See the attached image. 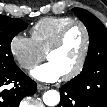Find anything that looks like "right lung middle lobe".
<instances>
[{"label":"right lung middle lobe","mask_w":107,"mask_h":107,"mask_svg":"<svg viewBox=\"0 0 107 107\" xmlns=\"http://www.w3.org/2000/svg\"><path fill=\"white\" fill-rule=\"evenodd\" d=\"M28 24L16 18L0 15V71L16 67L10 43L14 36L25 30Z\"/></svg>","instance_id":"right-lung-middle-lobe-1"}]
</instances>
